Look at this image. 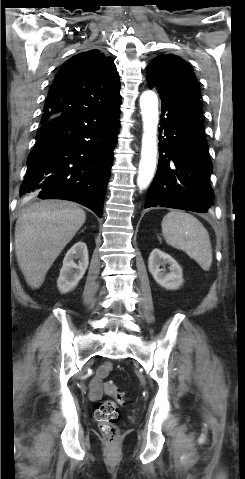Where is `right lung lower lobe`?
Returning <instances> with one entry per match:
<instances>
[{
  "label": "right lung lower lobe",
  "instance_id": "98d812e1",
  "mask_svg": "<svg viewBox=\"0 0 245 479\" xmlns=\"http://www.w3.org/2000/svg\"><path fill=\"white\" fill-rule=\"evenodd\" d=\"M118 120L119 106L83 110L43 123L20 194L75 201L101 217Z\"/></svg>",
  "mask_w": 245,
  "mask_h": 479
}]
</instances>
